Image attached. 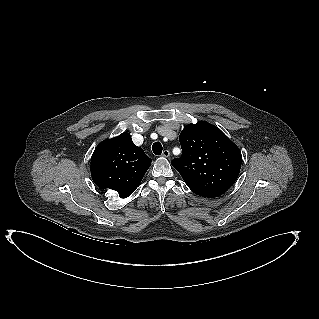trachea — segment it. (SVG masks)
<instances>
[{
  "label": "trachea",
  "mask_w": 319,
  "mask_h": 319,
  "mask_svg": "<svg viewBox=\"0 0 319 319\" xmlns=\"http://www.w3.org/2000/svg\"><path fill=\"white\" fill-rule=\"evenodd\" d=\"M162 145L160 142H155L153 145H152V150H153V153L155 155H160L162 153Z\"/></svg>",
  "instance_id": "3493384b"
}]
</instances>
